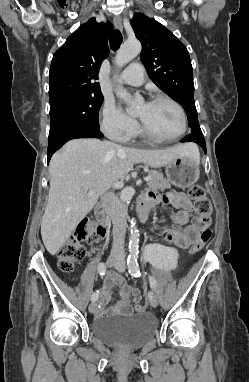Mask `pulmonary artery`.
Returning a JSON list of instances; mask_svg holds the SVG:
<instances>
[{
    "label": "pulmonary artery",
    "mask_w": 249,
    "mask_h": 382,
    "mask_svg": "<svg viewBox=\"0 0 249 382\" xmlns=\"http://www.w3.org/2000/svg\"><path fill=\"white\" fill-rule=\"evenodd\" d=\"M120 82L139 86L144 82V67L141 63H131L120 75Z\"/></svg>",
    "instance_id": "1"
}]
</instances>
